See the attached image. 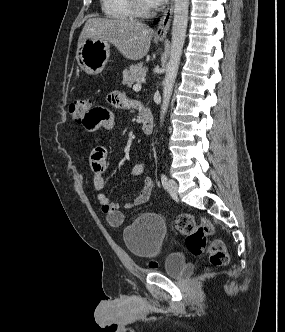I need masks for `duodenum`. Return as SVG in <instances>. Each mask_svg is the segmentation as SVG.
<instances>
[{
	"label": "duodenum",
	"mask_w": 285,
	"mask_h": 332,
	"mask_svg": "<svg viewBox=\"0 0 285 332\" xmlns=\"http://www.w3.org/2000/svg\"><path fill=\"white\" fill-rule=\"evenodd\" d=\"M141 125H142L143 132L145 134H147V135L152 134V132L154 130V119H153L151 112L146 108H143V110H142Z\"/></svg>",
	"instance_id": "410a0bca"
}]
</instances>
